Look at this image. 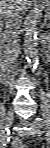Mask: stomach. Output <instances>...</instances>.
<instances>
[{"label":"stomach","mask_w":50,"mask_h":148,"mask_svg":"<svg viewBox=\"0 0 50 148\" xmlns=\"http://www.w3.org/2000/svg\"><path fill=\"white\" fill-rule=\"evenodd\" d=\"M44 3H48V1L46 0V1H44Z\"/></svg>","instance_id":"1"}]
</instances>
